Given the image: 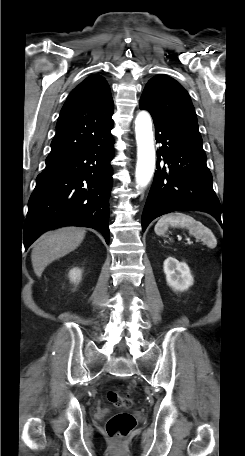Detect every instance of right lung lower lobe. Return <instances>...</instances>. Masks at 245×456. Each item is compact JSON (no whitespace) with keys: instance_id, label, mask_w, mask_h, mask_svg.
Instances as JSON below:
<instances>
[{"instance_id":"98d812e1","label":"right lung lower lobe","mask_w":245,"mask_h":456,"mask_svg":"<svg viewBox=\"0 0 245 456\" xmlns=\"http://www.w3.org/2000/svg\"><path fill=\"white\" fill-rule=\"evenodd\" d=\"M113 144L105 133L87 149L46 165L29 199L25 249L43 232L71 225L96 229L109 243Z\"/></svg>"}]
</instances>
